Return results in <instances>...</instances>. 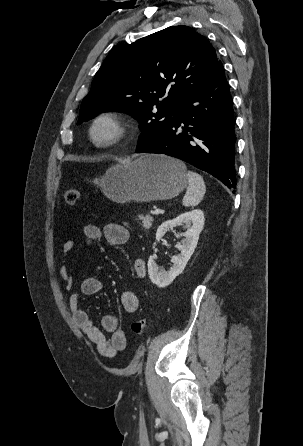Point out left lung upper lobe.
<instances>
[{"label":"left lung upper lobe","instance_id":"obj_1","mask_svg":"<svg viewBox=\"0 0 303 446\" xmlns=\"http://www.w3.org/2000/svg\"><path fill=\"white\" fill-rule=\"evenodd\" d=\"M217 61L207 38L188 26H171L118 45L96 73L77 124L99 112L128 113L140 123L139 149L161 134L175 106Z\"/></svg>","mask_w":303,"mask_h":446}]
</instances>
